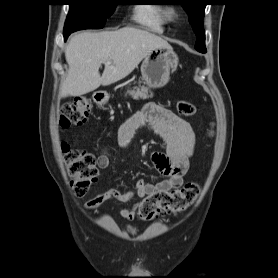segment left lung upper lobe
Here are the masks:
<instances>
[{
	"label": "left lung upper lobe",
	"instance_id": "1",
	"mask_svg": "<svg viewBox=\"0 0 278 278\" xmlns=\"http://www.w3.org/2000/svg\"><path fill=\"white\" fill-rule=\"evenodd\" d=\"M181 5L189 16V22L196 33L197 41L195 48L201 53L206 52L205 33L203 28L204 10L206 6L205 0H180Z\"/></svg>",
	"mask_w": 278,
	"mask_h": 278
}]
</instances>
